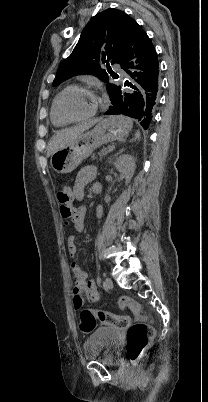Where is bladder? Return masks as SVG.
I'll use <instances>...</instances> for the list:
<instances>
[{"label":"bladder","mask_w":208,"mask_h":402,"mask_svg":"<svg viewBox=\"0 0 208 402\" xmlns=\"http://www.w3.org/2000/svg\"><path fill=\"white\" fill-rule=\"evenodd\" d=\"M120 345L117 329L108 326L96 328L84 344L85 358L115 360Z\"/></svg>","instance_id":"1"}]
</instances>
